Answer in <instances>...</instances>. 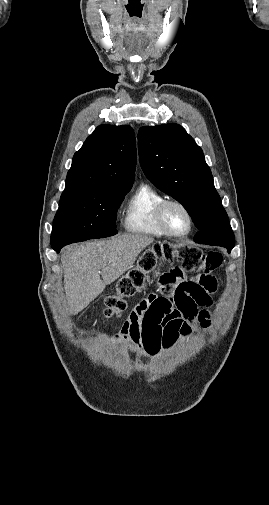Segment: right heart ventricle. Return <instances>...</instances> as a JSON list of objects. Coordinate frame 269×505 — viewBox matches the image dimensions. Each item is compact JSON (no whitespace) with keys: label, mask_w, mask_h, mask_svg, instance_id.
Returning <instances> with one entry per match:
<instances>
[{"label":"right heart ventricle","mask_w":269,"mask_h":505,"mask_svg":"<svg viewBox=\"0 0 269 505\" xmlns=\"http://www.w3.org/2000/svg\"><path fill=\"white\" fill-rule=\"evenodd\" d=\"M163 196L147 184L140 185L127 202L125 229L134 234L163 237L166 234L155 219V208Z\"/></svg>","instance_id":"1"}]
</instances>
